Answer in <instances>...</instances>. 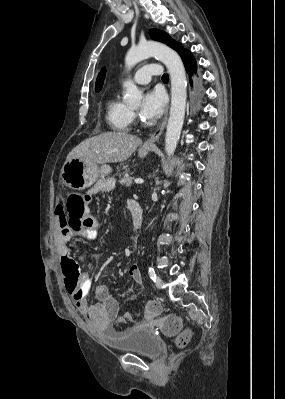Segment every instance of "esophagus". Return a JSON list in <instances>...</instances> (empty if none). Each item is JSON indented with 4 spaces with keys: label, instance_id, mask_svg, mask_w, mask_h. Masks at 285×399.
Segmentation results:
<instances>
[{
    "label": "esophagus",
    "instance_id": "obj_1",
    "mask_svg": "<svg viewBox=\"0 0 285 399\" xmlns=\"http://www.w3.org/2000/svg\"><path fill=\"white\" fill-rule=\"evenodd\" d=\"M167 115L164 117L162 123L160 126L157 128V130L150 136V138L144 143L143 148H152L155 144V142L159 139L161 134L163 133V130L165 128L166 122H167Z\"/></svg>",
    "mask_w": 285,
    "mask_h": 399
}]
</instances>
